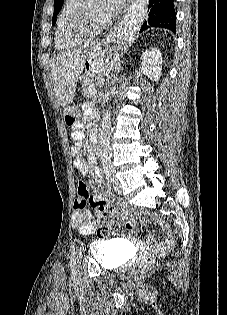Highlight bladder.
<instances>
[{
	"instance_id": "obj_1",
	"label": "bladder",
	"mask_w": 227,
	"mask_h": 315,
	"mask_svg": "<svg viewBox=\"0 0 227 315\" xmlns=\"http://www.w3.org/2000/svg\"><path fill=\"white\" fill-rule=\"evenodd\" d=\"M93 260L103 269H115L126 259V248L114 240H96L90 247Z\"/></svg>"
}]
</instances>
